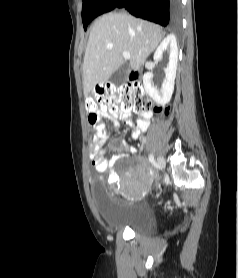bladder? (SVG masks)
I'll list each match as a JSON object with an SVG mask.
<instances>
[{"mask_svg":"<svg viewBox=\"0 0 238 278\" xmlns=\"http://www.w3.org/2000/svg\"><path fill=\"white\" fill-rule=\"evenodd\" d=\"M93 198L97 199L101 219L111 230H131L136 234L148 235L155 231L156 223L153 214L140 204H122L113 202L105 194L104 186L95 181Z\"/></svg>","mask_w":238,"mask_h":278,"instance_id":"31cf9c89","label":"bladder"}]
</instances>
